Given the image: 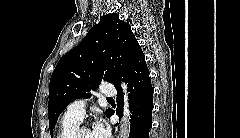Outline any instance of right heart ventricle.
I'll list each match as a JSON object with an SVG mask.
<instances>
[{
    "instance_id": "e07e8e85",
    "label": "right heart ventricle",
    "mask_w": 240,
    "mask_h": 138,
    "mask_svg": "<svg viewBox=\"0 0 240 138\" xmlns=\"http://www.w3.org/2000/svg\"><path fill=\"white\" fill-rule=\"evenodd\" d=\"M80 123V120L65 115L60 123L57 138H71Z\"/></svg>"
}]
</instances>
